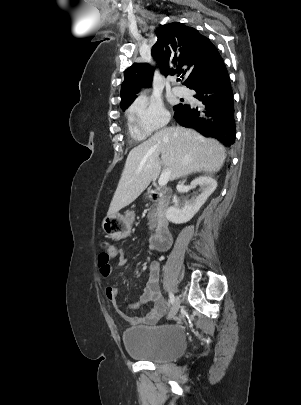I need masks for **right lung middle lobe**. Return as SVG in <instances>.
I'll use <instances>...</instances> for the list:
<instances>
[{
	"instance_id": "1",
	"label": "right lung middle lobe",
	"mask_w": 301,
	"mask_h": 405,
	"mask_svg": "<svg viewBox=\"0 0 301 405\" xmlns=\"http://www.w3.org/2000/svg\"><path fill=\"white\" fill-rule=\"evenodd\" d=\"M181 105H182V104H179V105L175 106L174 108L177 109V108L180 107Z\"/></svg>"
}]
</instances>
